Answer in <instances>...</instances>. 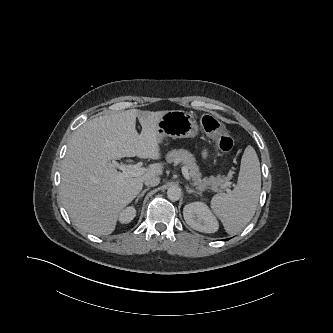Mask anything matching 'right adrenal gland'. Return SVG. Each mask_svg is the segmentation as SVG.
<instances>
[{"label": "right adrenal gland", "mask_w": 333, "mask_h": 333, "mask_svg": "<svg viewBox=\"0 0 333 333\" xmlns=\"http://www.w3.org/2000/svg\"><path fill=\"white\" fill-rule=\"evenodd\" d=\"M150 188L148 187V188H146V189H144L138 196H137V198H136V200H135V204L138 202V200L140 199V198H142L143 196H144V194L149 190Z\"/></svg>", "instance_id": "1"}]
</instances>
